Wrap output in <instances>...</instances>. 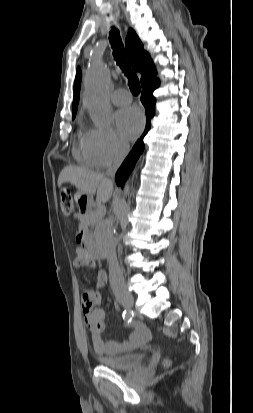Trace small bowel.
Segmentation results:
<instances>
[{
  "label": "small bowel",
  "mask_w": 253,
  "mask_h": 413,
  "mask_svg": "<svg viewBox=\"0 0 253 413\" xmlns=\"http://www.w3.org/2000/svg\"><path fill=\"white\" fill-rule=\"evenodd\" d=\"M75 218L79 219L77 215ZM75 267H94L93 260L87 257L81 249H77L76 257L73 260ZM107 282L105 270L99 269L95 273V285L87 286L82 294L83 319L87 326L90 340L96 354L101 356H113L119 353L133 350L145 344L151 339L150 330L141 322L133 324L134 331L125 342L108 341L104 342L101 333L105 328V312L99 307V289Z\"/></svg>",
  "instance_id": "1"
}]
</instances>
